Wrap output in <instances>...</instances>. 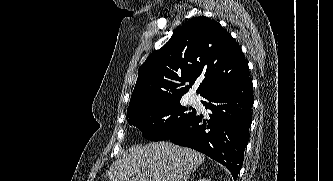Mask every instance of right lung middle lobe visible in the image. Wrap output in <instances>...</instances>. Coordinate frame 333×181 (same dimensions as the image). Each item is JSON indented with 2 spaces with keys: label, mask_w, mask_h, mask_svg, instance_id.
<instances>
[{
  "label": "right lung middle lobe",
  "mask_w": 333,
  "mask_h": 181,
  "mask_svg": "<svg viewBox=\"0 0 333 181\" xmlns=\"http://www.w3.org/2000/svg\"><path fill=\"white\" fill-rule=\"evenodd\" d=\"M180 99L150 101L127 110L130 125L139 128L142 135L149 140L161 141L170 138L196 111L192 107H183Z\"/></svg>",
  "instance_id": "1"
}]
</instances>
